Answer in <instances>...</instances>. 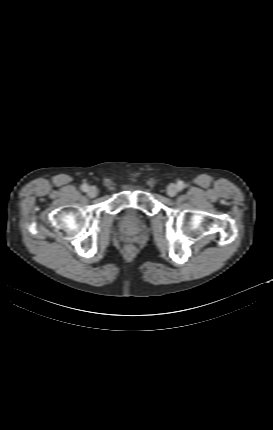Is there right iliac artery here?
<instances>
[{"mask_svg":"<svg viewBox=\"0 0 273 430\" xmlns=\"http://www.w3.org/2000/svg\"><path fill=\"white\" fill-rule=\"evenodd\" d=\"M81 189H82V191L87 192V191H88V189H89V187H88V185H87V184H83V185L81 186Z\"/></svg>","mask_w":273,"mask_h":430,"instance_id":"right-iliac-artery-1","label":"right iliac artery"}]
</instances>
